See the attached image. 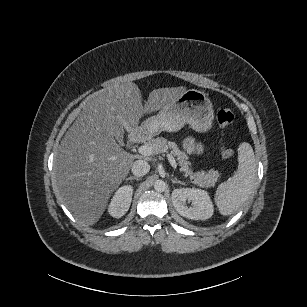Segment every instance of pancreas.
<instances>
[{
	"label": "pancreas",
	"mask_w": 307,
	"mask_h": 307,
	"mask_svg": "<svg viewBox=\"0 0 307 307\" xmlns=\"http://www.w3.org/2000/svg\"><path fill=\"white\" fill-rule=\"evenodd\" d=\"M145 145L152 146L155 148L157 153L165 152L168 148L171 149L173 155H175L179 160L180 170H184L186 173L191 174L188 170L189 162L184 161L187 158L184 152L180 151L177 148V145L173 142L166 140L164 137H157L148 140ZM219 177V173L217 171H209V173H205L201 171L196 173L195 176H192L194 179V183L199 184L203 187L215 186V183Z\"/></svg>",
	"instance_id": "pancreas-1"
}]
</instances>
